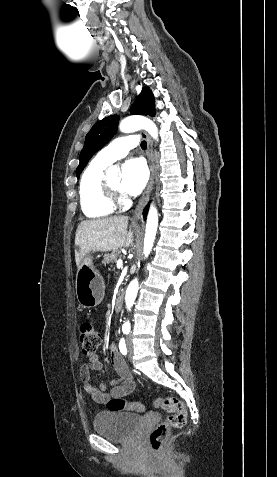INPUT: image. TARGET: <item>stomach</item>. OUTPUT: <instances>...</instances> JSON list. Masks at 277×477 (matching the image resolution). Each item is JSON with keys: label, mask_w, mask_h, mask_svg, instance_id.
<instances>
[{"label": "stomach", "mask_w": 277, "mask_h": 477, "mask_svg": "<svg viewBox=\"0 0 277 477\" xmlns=\"http://www.w3.org/2000/svg\"><path fill=\"white\" fill-rule=\"evenodd\" d=\"M93 256L88 253L76 274L75 290L79 304L84 308L96 307L104 298L105 286L93 265Z\"/></svg>", "instance_id": "stomach-1"}]
</instances>
